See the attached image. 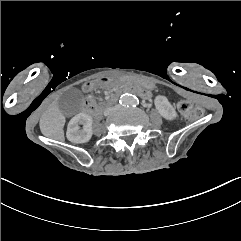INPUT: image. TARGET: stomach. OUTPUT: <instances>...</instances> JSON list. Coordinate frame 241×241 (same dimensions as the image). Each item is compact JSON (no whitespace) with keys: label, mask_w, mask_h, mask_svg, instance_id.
Returning <instances> with one entry per match:
<instances>
[{"label":"stomach","mask_w":241,"mask_h":241,"mask_svg":"<svg viewBox=\"0 0 241 241\" xmlns=\"http://www.w3.org/2000/svg\"><path fill=\"white\" fill-rule=\"evenodd\" d=\"M113 84H137L149 89L154 88V83L145 78H137L135 76H129V75H118L113 80Z\"/></svg>","instance_id":"0dacf381"}]
</instances>
